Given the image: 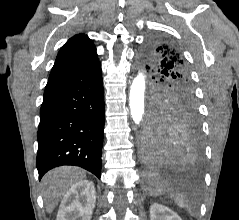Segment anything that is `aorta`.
Returning a JSON list of instances; mask_svg holds the SVG:
<instances>
[{"instance_id":"1","label":"aorta","mask_w":239,"mask_h":220,"mask_svg":"<svg viewBox=\"0 0 239 220\" xmlns=\"http://www.w3.org/2000/svg\"><path fill=\"white\" fill-rule=\"evenodd\" d=\"M145 87L146 76L144 72L140 70L132 82L129 95L131 118L136 124H139L144 116Z\"/></svg>"}]
</instances>
